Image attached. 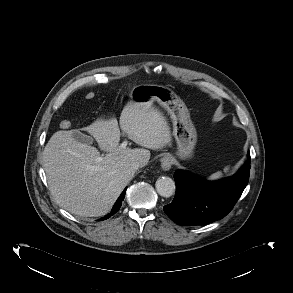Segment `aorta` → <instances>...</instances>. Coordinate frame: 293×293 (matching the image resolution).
<instances>
[{
    "label": "aorta",
    "instance_id": "obj_1",
    "mask_svg": "<svg viewBox=\"0 0 293 293\" xmlns=\"http://www.w3.org/2000/svg\"><path fill=\"white\" fill-rule=\"evenodd\" d=\"M156 191L162 197H170L175 192V182L170 177H160L157 179Z\"/></svg>",
    "mask_w": 293,
    "mask_h": 293
}]
</instances>
